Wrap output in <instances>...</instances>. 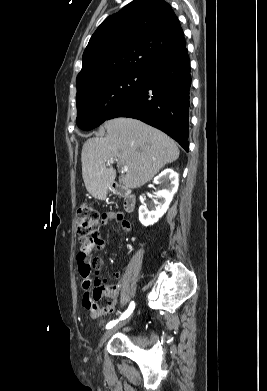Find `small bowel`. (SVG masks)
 I'll list each match as a JSON object with an SVG mask.
<instances>
[{"mask_svg":"<svg viewBox=\"0 0 267 391\" xmlns=\"http://www.w3.org/2000/svg\"><path fill=\"white\" fill-rule=\"evenodd\" d=\"M103 223L119 222L121 230L128 232L130 223L123 219L121 214L104 213ZM78 271L82 277V288L84 290L82 305L91 316H97L100 313L110 311L115 305L119 296L118 283L121 279L119 272L112 274L111 280H108L100 274L102 260L98 257H91V253L79 252L77 256ZM103 296H107L109 301L101 308L99 301Z\"/></svg>","mask_w":267,"mask_h":391,"instance_id":"small-bowel-1","label":"small bowel"}]
</instances>
